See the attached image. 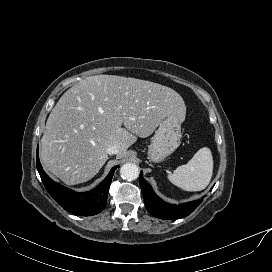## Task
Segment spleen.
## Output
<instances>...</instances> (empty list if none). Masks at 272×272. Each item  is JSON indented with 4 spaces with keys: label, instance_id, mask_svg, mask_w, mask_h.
I'll return each instance as SVG.
<instances>
[{
    "label": "spleen",
    "instance_id": "3e777b00",
    "mask_svg": "<svg viewBox=\"0 0 272 272\" xmlns=\"http://www.w3.org/2000/svg\"><path fill=\"white\" fill-rule=\"evenodd\" d=\"M213 158L209 148L199 149L187 164L168 174L169 181L185 191H201L211 181Z\"/></svg>",
    "mask_w": 272,
    "mask_h": 272
}]
</instances>
